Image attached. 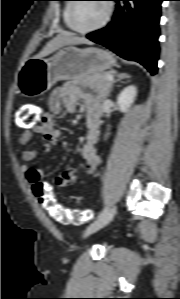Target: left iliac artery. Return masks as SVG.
<instances>
[{"mask_svg":"<svg viewBox=\"0 0 180 299\" xmlns=\"http://www.w3.org/2000/svg\"><path fill=\"white\" fill-rule=\"evenodd\" d=\"M108 211V207H105L98 215V218L104 215Z\"/></svg>","mask_w":180,"mask_h":299,"instance_id":"obj_1","label":"left iliac artery"}]
</instances>
